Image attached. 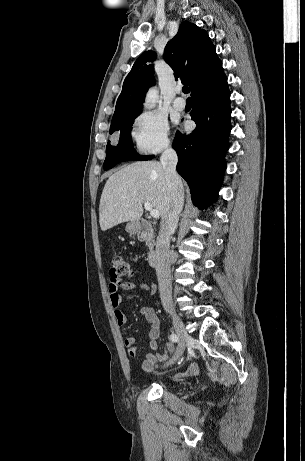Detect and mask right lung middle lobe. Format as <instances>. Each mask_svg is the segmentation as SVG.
Returning a JSON list of instances; mask_svg holds the SVG:
<instances>
[{
  "mask_svg": "<svg viewBox=\"0 0 305 461\" xmlns=\"http://www.w3.org/2000/svg\"><path fill=\"white\" fill-rule=\"evenodd\" d=\"M137 116L138 115L124 119L110 129V134L115 131H119L120 138L118 144H111L110 141L107 143L106 159L103 164V168L105 170H108L123 161L149 160L152 158V156L138 155L133 148L130 130L132 123Z\"/></svg>",
  "mask_w": 305,
  "mask_h": 461,
  "instance_id": "obj_1",
  "label": "right lung middle lobe"
}]
</instances>
